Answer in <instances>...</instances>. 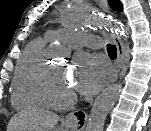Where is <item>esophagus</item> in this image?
<instances>
[{
	"label": "esophagus",
	"instance_id": "1",
	"mask_svg": "<svg viewBox=\"0 0 151 131\" xmlns=\"http://www.w3.org/2000/svg\"><path fill=\"white\" fill-rule=\"evenodd\" d=\"M100 5L105 13H110L109 5L107 0H100ZM110 38L113 40L114 44L117 48V59L115 62V74L113 76V80H116L118 74L124 63V46L121 39L112 33H109ZM87 115L85 112L81 110L73 111L66 116V122L73 125L79 130H83L86 124Z\"/></svg>",
	"mask_w": 151,
	"mask_h": 131
}]
</instances>
